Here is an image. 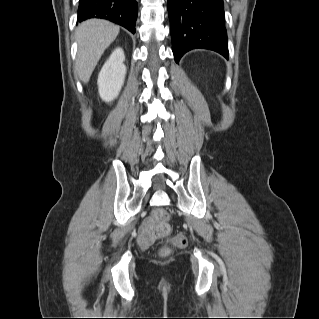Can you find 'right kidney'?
Instances as JSON below:
<instances>
[{
  "instance_id": "obj_1",
  "label": "right kidney",
  "mask_w": 319,
  "mask_h": 319,
  "mask_svg": "<svg viewBox=\"0 0 319 319\" xmlns=\"http://www.w3.org/2000/svg\"><path fill=\"white\" fill-rule=\"evenodd\" d=\"M125 56L122 48L110 55L98 75L99 95L105 102H111L119 95L126 76Z\"/></svg>"
}]
</instances>
